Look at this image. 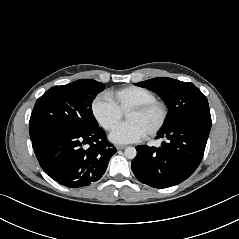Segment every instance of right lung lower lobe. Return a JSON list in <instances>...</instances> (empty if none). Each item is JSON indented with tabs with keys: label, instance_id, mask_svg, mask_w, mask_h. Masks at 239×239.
<instances>
[{
	"label": "right lung lower lobe",
	"instance_id": "98d812e1",
	"mask_svg": "<svg viewBox=\"0 0 239 239\" xmlns=\"http://www.w3.org/2000/svg\"><path fill=\"white\" fill-rule=\"evenodd\" d=\"M32 146L44 172L70 188L99 180L116 152L99 126L82 131L47 130L32 140Z\"/></svg>",
	"mask_w": 239,
	"mask_h": 239
}]
</instances>
